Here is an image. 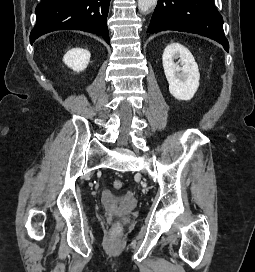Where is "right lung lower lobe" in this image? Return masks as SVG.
I'll return each instance as SVG.
<instances>
[{
	"label": "right lung lower lobe",
	"mask_w": 255,
	"mask_h": 272,
	"mask_svg": "<svg viewBox=\"0 0 255 272\" xmlns=\"http://www.w3.org/2000/svg\"><path fill=\"white\" fill-rule=\"evenodd\" d=\"M110 0H41L30 42L56 30H81L102 36L109 44L107 14Z\"/></svg>",
	"instance_id": "right-lung-lower-lobe-1"
}]
</instances>
